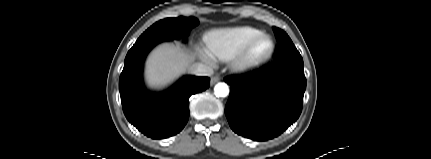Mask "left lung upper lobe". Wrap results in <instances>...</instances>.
I'll use <instances>...</instances> for the list:
<instances>
[{"label": "left lung upper lobe", "instance_id": "obj_1", "mask_svg": "<svg viewBox=\"0 0 431 159\" xmlns=\"http://www.w3.org/2000/svg\"><path fill=\"white\" fill-rule=\"evenodd\" d=\"M274 33L278 41V48L275 56V61L285 59L302 60V57L289 36L281 29L274 27Z\"/></svg>", "mask_w": 431, "mask_h": 159}]
</instances>
